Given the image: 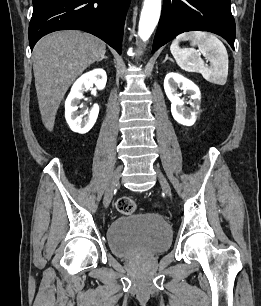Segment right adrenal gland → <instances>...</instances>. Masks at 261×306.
Segmentation results:
<instances>
[{"instance_id": "1", "label": "right adrenal gland", "mask_w": 261, "mask_h": 306, "mask_svg": "<svg viewBox=\"0 0 261 306\" xmlns=\"http://www.w3.org/2000/svg\"><path fill=\"white\" fill-rule=\"evenodd\" d=\"M103 59H108L107 56H103L101 59H99L97 62H101Z\"/></svg>"}]
</instances>
